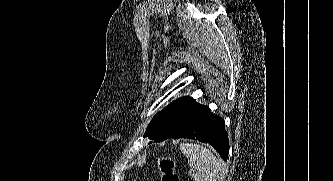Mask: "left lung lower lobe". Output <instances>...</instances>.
Segmentation results:
<instances>
[{
    "instance_id": "obj_1",
    "label": "left lung lower lobe",
    "mask_w": 333,
    "mask_h": 181,
    "mask_svg": "<svg viewBox=\"0 0 333 181\" xmlns=\"http://www.w3.org/2000/svg\"><path fill=\"white\" fill-rule=\"evenodd\" d=\"M224 120L211 113L208 107L203 108L194 119L184 127L173 139L188 138L210 144L223 158L224 161L228 158L229 141L225 131ZM154 142L164 141L163 138L157 136Z\"/></svg>"
}]
</instances>
